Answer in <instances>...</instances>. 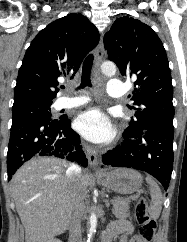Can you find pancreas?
I'll return each mask as SVG.
<instances>
[{"instance_id": "1", "label": "pancreas", "mask_w": 187, "mask_h": 242, "mask_svg": "<svg viewBox=\"0 0 187 242\" xmlns=\"http://www.w3.org/2000/svg\"><path fill=\"white\" fill-rule=\"evenodd\" d=\"M138 198L137 195L131 196L130 198H121L117 197L114 200V206H113V214L117 217L120 216H126L129 211V203L131 200H136Z\"/></svg>"}]
</instances>
